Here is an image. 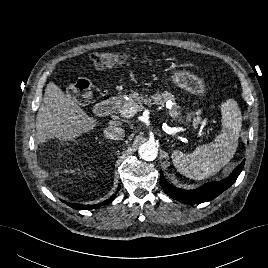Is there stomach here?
Segmentation results:
<instances>
[{"label": "stomach", "instance_id": "1", "mask_svg": "<svg viewBox=\"0 0 268 268\" xmlns=\"http://www.w3.org/2000/svg\"><path fill=\"white\" fill-rule=\"evenodd\" d=\"M170 81L175 86L194 95H203L206 91L203 79L185 69L172 70Z\"/></svg>", "mask_w": 268, "mask_h": 268}]
</instances>
